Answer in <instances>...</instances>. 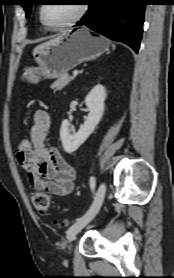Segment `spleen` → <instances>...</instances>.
Returning a JSON list of instances; mask_svg holds the SVG:
<instances>
[{
	"mask_svg": "<svg viewBox=\"0 0 174 278\" xmlns=\"http://www.w3.org/2000/svg\"><path fill=\"white\" fill-rule=\"evenodd\" d=\"M112 47H113V49H115V45L114 44L112 45Z\"/></svg>",
	"mask_w": 174,
	"mask_h": 278,
	"instance_id": "obj_1",
	"label": "spleen"
}]
</instances>
